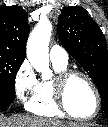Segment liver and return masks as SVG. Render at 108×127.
<instances>
[{"label":"liver","instance_id":"liver-1","mask_svg":"<svg viewBox=\"0 0 108 127\" xmlns=\"http://www.w3.org/2000/svg\"><path fill=\"white\" fill-rule=\"evenodd\" d=\"M0 127H90L88 124L63 122L27 114L0 115Z\"/></svg>","mask_w":108,"mask_h":127}]
</instances>
